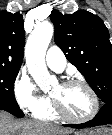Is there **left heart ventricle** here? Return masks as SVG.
<instances>
[{
	"label": "left heart ventricle",
	"instance_id": "left-heart-ventricle-1",
	"mask_svg": "<svg viewBox=\"0 0 112 135\" xmlns=\"http://www.w3.org/2000/svg\"><path fill=\"white\" fill-rule=\"evenodd\" d=\"M50 95L58 100L66 112L77 117L86 116L92 108L90 95L81 85L57 83L51 89Z\"/></svg>",
	"mask_w": 112,
	"mask_h": 135
}]
</instances>
